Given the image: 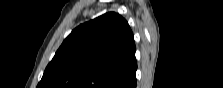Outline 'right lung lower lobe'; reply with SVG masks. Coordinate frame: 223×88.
<instances>
[{
	"label": "right lung lower lobe",
	"instance_id": "obj_1",
	"mask_svg": "<svg viewBox=\"0 0 223 88\" xmlns=\"http://www.w3.org/2000/svg\"><path fill=\"white\" fill-rule=\"evenodd\" d=\"M136 77V75H135ZM132 88H136V78L134 80H132Z\"/></svg>",
	"mask_w": 223,
	"mask_h": 88
}]
</instances>
